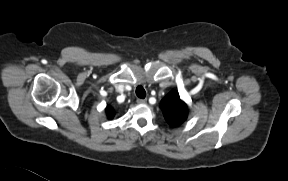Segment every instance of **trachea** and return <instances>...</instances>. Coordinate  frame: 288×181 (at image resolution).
Wrapping results in <instances>:
<instances>
[{
    "mask_svg": "<svg viewBox=\"0 0 288 181\" xmlns=\"http://www.w3.org/2000/svg\"><path fill=\"white\" fill-rule=\"evenodd\" d=\"M136 95L139 97V98H142L144 99L146 97V91L145 89L142 87V86H138L136 88Z\"/></svg>",
    "mask_w": 288,
    "mask_h": 181,
    "instance_id": "obj_1",
    "label": "trachea"
}]
</instances>
